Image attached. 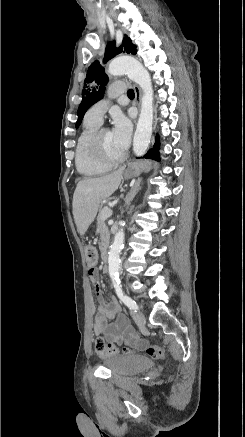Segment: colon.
I'll use <instances>...</instances> for the list:
<instances>
[{"label": "colon", "mask_w": 245, "mask_h": 437, "mask_svg": "<svg viewBox=\"0 0 245 437\" xmlns=\"http://www.w3.org/2000/svg\"><path fill=\"white\" fill-rule=\"evenodd\" d=\"M85 259L88 267V272L89 274H92L96 270L97 264V250L94 246L87 245L85 247ZM95 351L100 356L113 355L118 353L129 354L133 352V350L129 347L119 348L114 343H107L102 337L96 338ZM144 351L149 357L153 359L164 358L166 354L164 348L158 345H147L144 347Z\"/></svg>", "instance_id": "5ec220e1"}]
</instances>
